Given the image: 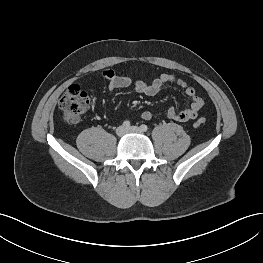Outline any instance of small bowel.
<instances>
[{
	"label": "small bowel",
	"mask_w": 263,
	"mask_h": 263,
	"mask_svg": "<svg viewBox=\"0 0 263 263\" xmlns=\"http://www.w3.org/2000/svg\"><path fill=\"white\" fill-rule=\"evenodd\" d=\"M98 76L107 80V88L110 91L133 86L137 93L146 96L158 95L164 86L169 83L179 86L190 98V105L189 107L180 111L174 108H169L166 111V117L173 121L186 122L194 119L197 117L199 111L203 107V100L196 94V90L192 86L188 85L184 80L177 78L172 74H161L152 82H148L143 79L133 81L130 77L120 76L111 69L103 71ZM141 117L144 120H151L153 119L154 114L151 111L145 110L141 113Z\"/></svg>",
	"instance_id": "1"
}]
</instances>
